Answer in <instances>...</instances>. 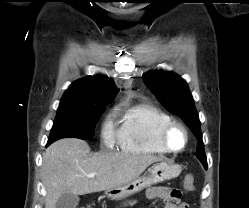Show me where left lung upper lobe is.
I'll return each instance as SVG.
<instances>
[{"label": "left lung upper lobe", "mask_w": 249, "mask_h": 208, "mask_svg": "<svg viewBox=\"0 0 249 208\" xmlns=\"http://www.w3.org/2000/svg\"><path fill=\"white\" fill-rule=\"evenodd\" d=\"M143 80L161 104L169 112L177 114L200 140L196 157L207 169V159L202 142L200 120L187 83L178 75L166 71L145 73Z\"/></svg>", "instance_id": "1"}]
</instances>
